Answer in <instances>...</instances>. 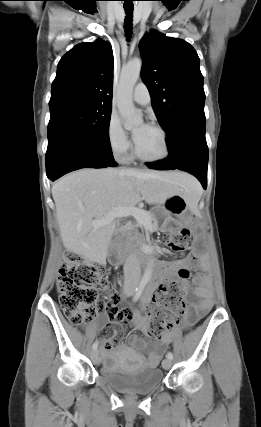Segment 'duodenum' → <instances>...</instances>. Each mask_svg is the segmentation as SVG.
<instances>
[{
  "mask_svg": "<svg viewBox=\"0 0 261 427\" xmlns=\"http://www.w3.org/2000/svg\"><path fill=\"white\" fill-rule=\"evenodd\" d=\"M117 244L120 241V237H117L116 239ZM152 251H148L146 252V254H142V253H136L134 255V260L141 265H145V266H152L154 268H156L158 270V261H156L153 257H152ZM112 264L114 266H118L120 264V258L115 255L112 260H111Z\"/></svg>",
  "mask_w": 261,
  "mask_h": 427,
  "instance_id": "410a0bca",
  "label": "duodenum"
}]
</instances>
